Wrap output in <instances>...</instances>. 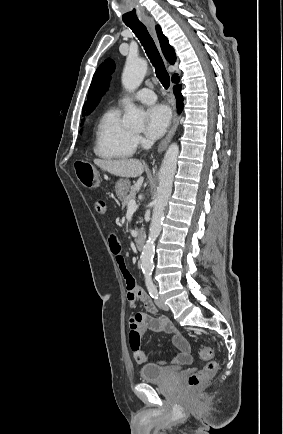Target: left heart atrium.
I'll list each match as a JSON object with an SVG mask.
<instances>
[{"mask_svg": "<svg viewBox=\"0 0 283 434\" xmlns=\"http://www.w3.org/2000/svg\"><path fill=\"white\" fill-rule=\"evenodd\" d=\"M171 120L170 109L162 104L150 107L146 112L145 135L157 140L164 135Z\"/></svg>", "mask_w": 283, "mask_h": 434, "instance_id": "39dd6f15", "label": "left heart atrium"}]
</instances>
